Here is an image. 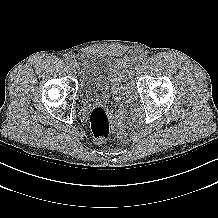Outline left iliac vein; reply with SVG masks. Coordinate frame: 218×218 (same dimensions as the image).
Instances as JSON below:
<instances>
[{"label":"left iliac vein","mask_w":218,"mask_h":218,"mask_svg":"<svg viewBox=\"0 0 218 218\" xmlns=\"http://www.w3.org/2000/svg\"><path fill=\"white\" fill-rule=\"evenodd\" d=\"M141 63H137V65L135 64L132 68H131V71L132 72H135L136 70H138L139 69V65H140Z\"/></svg>","instance_id":"obj_1"}]
</instances>
